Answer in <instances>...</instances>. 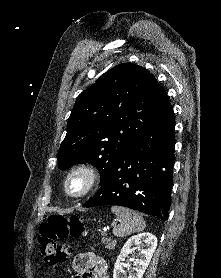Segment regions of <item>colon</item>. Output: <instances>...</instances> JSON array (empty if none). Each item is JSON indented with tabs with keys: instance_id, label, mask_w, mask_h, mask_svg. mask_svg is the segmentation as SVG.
Instances as JSON below:
<instances>
[{
	"instance_id": "5ec220e1",
	"label": "colon",
	"mask_w": 221,
	"mask_h": 278,
	"mask_svg": "<svg viewBox=\"0 0 221 278\" xmlns=\"http://www.w3.org/2000/svg\"><path fill=\"white\" fill-rule=\"evenodd\" d=\"M85 234V226L78 216L49 217L39 228L38 246L44 262L58 269L70 254V249L62 244V240L80 238Z\"/></svg>"
}]
</instances>
